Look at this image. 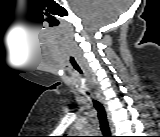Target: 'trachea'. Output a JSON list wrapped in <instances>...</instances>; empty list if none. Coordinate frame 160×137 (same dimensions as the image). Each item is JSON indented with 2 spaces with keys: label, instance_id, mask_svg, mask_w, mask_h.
I'll return each instance as SVG.
<instances>
[{
  "label": "trachea",
  "instance_id": "trachea-1",
  "mask_svg": "<svg viewBox=\"0 0 160 137\" xmlns=\"http://www.w3.org/2000/svg\"><path fill=\"white\" fill-rule=\"evenodd\" d=\"M72 64L78 72L82 73V71L80 70V67L77 65V63L73 59H72ZM93 104L98 112V118L100 121V128L103 133V137H112L109 129L106 112L103 105L96 100H93Z\"/></svg>",
  "mask_w": 160,
  "mask_h": 137
}]
</instances>
